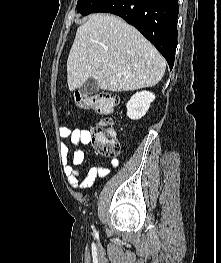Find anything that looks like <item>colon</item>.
I'll use <instances>...</instances> for the list:
<instances>
[{
  "instance_id": "5ec220e1",
  "label": "colon",
  "mask_w": 221,
  "mask_h": 263,
  "mask_svg": "<svg viewBox=\"0 0 221 263\" xmlns=\"http://www.w3.org/2000/svg\"><path fill=\"white\" fill-rule=\"evenodd\" d=\"M120 103L119 97L112 93L94 95L75 94V105L78 109L109 114ZM109 121H103L91 131V140L98 150L106 157L119 154V145L114 137V131L107 127Z\"/></svg>"
}]
</instances>
